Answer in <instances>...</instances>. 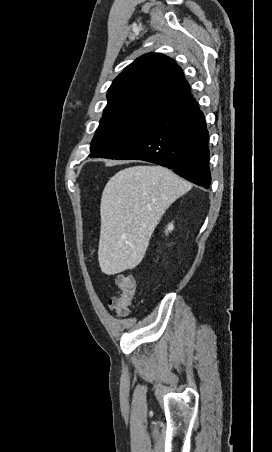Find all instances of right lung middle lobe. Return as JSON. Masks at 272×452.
<instances>
[{
  "instance_id": "dd1d6c3e",
  "label": "right lung middle lobe",
  "mask_w": 272,
  "mask_h": 452,
  "mask_svg": "<svg viewBox=\"0 0 272 452\" xmlns=\"http://www.w3.org/2000/svg\"><path fill=\"white\" fill-rule=\"evenodd\" d=\"M161 114L147 111L119 113L100 120L90 157L115 159L131 147Z\"/></svg>"
}]
</instances>
